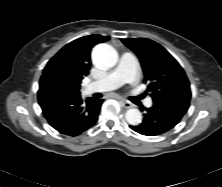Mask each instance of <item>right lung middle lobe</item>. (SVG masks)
Listing matches in <instances>:
<instances>
[{"instance_id":"1","label":"right lung middle lobe","mask_w":222,"mask_h":187,"mask_svg":"<svg viewBox=\"0 0 222 187\" xmlns=\"http://www.w3.org/2000/svg\"><path fill=\"white\" fill-rule=\"evenodd\" d=\"M61 82L63 83L64 86H66L68 89L78 92L76 89H74L70 84H68L66 81H64L63 79H61Z\"/></svg>"}]
</instances>
